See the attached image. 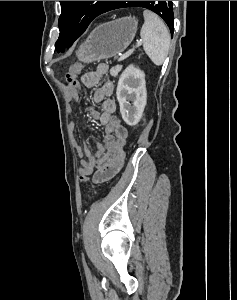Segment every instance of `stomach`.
Segmentation results:
<instances>
[{"label": "stomach", "mask_w": 237, "mask_h": 300, "mask_svg": "<svg viewBox=\"0 0 237 300\" xmlns=\"http://www.w3.org/2000/svg\"><path fill=\"white\" fill-rule=\"evenodd\" d=\"M136 17H123L96 27L78 47L76 57L81 63L110 59L123 53L137 33Z\"/></svg>", "instance_id": "1"}]
</instances>
